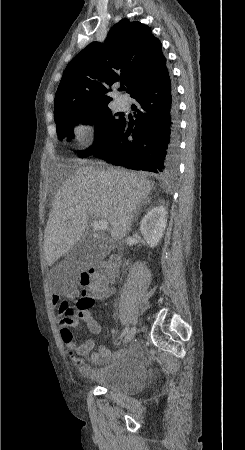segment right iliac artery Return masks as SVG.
<instances>
[{
  "instance_id": "82829eb1",
  "label": "right iliac artery",
  "mask_w": 245,
  "mask_h": 450,
  "mask_svg": "<svg viewBox=\"0 0 245 450\" xmlns=\"http://www.w3.org/2000/svg\"><path fill=\"white\" fill-rule=\"evenodd\" d=\"M128 330H129V326H127V327L123 330L121 336H124V335L128 332Z\"/></svg>"
}]
</instances>
